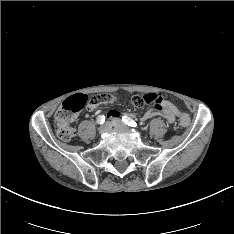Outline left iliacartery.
Listing matches in <instances>:
<instances>
[{
  "label": "left iliac artery",
  "mask_w": 234,
  "mask_h": 234,
  "mask_svg": "<svg viewBox=\"0 0 234 234\" xmlns=\"http://www.w3.org/2000/svg\"><path fill=\"white\" fill-rule=\"evenodd\" d=\"M122 121L130 127H137V123L128 116H123Z\"/></svg>",
  "instance_id": "left-iliac-artery-1"
}]
</instances>
